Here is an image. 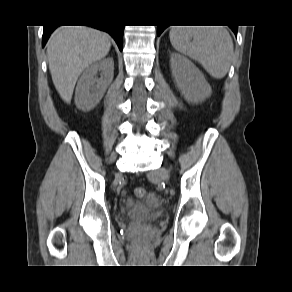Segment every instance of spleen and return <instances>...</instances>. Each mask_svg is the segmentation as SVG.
Instances as JSON below:
<instances>
[{
  "mask_svg": "<svg viewBox=\"0 0 292 292\" xmlns=\"http://www.w3.org/2000/svg\"><path fill=\"white\" fill-rule=\"evenodd\" d=\"M169 37L176 51L201 64L211 77L222 79L229 71L234 46L225 28L173 26Z\"/></svg>",
  "mask_w": 292,
  "mask_h": 292,
  "instance_id": "1",
  "label": "spleen"
}]
</instances>
